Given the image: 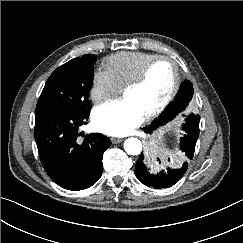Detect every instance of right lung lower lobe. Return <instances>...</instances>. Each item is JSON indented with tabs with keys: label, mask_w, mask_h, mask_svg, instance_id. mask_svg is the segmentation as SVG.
Wrapping results in <instances>:
<instances>
[{
	"label": "right lung lower lobe",
	"mask_w": 243,
	"mask_h": 243,
	"mask_svg": "<svg viewBox=\"0 0 243 243\" xmlns=\"http://www.w3.org/2000/svg\"><path fill=\"white\" fill-rule=\"evenodd\" d=\"M89 113L35 112L34 134L41 163L49 177L68 190L89 188L101 177L103 153L111 144L108 137L94 133L80 142L78 129L87 124Z\"/></svg>",
	"instance_id": "right-lung-lower-lobe-1"
}]
</instances>
